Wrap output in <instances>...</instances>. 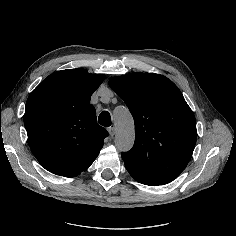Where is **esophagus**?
Masks as SVG:
<instances>
[{"label":"esophagus","mask_w":236,"mask_h":236,"mask_svg":"<svg viewBox=\"0 0 236 236\" xmlns=\"http://www.w3.org/2000/svg\"><path fill=\"white\" fill-rule=\"evenodd\" d=\"M108 132L111 136H114L116 134V128L115 127H111L108 129Z\"/></svg>","instance_id":"obj_1"}]
</instances>
